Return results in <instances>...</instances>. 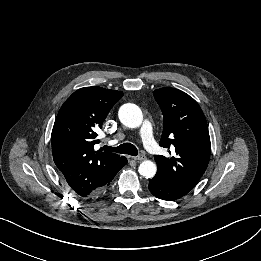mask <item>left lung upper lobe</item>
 I'll return each instance as SVG.
<instances>
[{"mask_svg": "<svg viewBox=\"0 0 261 261\" xmlns=\"http://www.w3.org/2000/svg\"><path fill=\"white\" fill-rule=\"evenodd\" d=\"M153 94L164 116L160 146L171 149L173 154L169 158L155 156L156 175L174 191L186 195L209 162L211 143L207 122L198 103L183 91L161 88Z\"/></svg>", "mask_w": 261, "mask_h": 261, "instance_id": "obj_1", "label": "left lung upper lobe"}]
</instances>
